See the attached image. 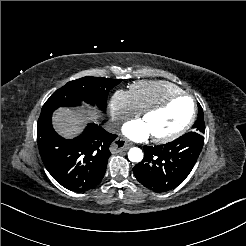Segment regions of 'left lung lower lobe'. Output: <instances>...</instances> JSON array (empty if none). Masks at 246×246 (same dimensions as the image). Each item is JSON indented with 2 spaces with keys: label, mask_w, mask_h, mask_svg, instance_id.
<instances>
[{
  "label": "left lung lower lobe",
  "mask_w": 246,
  "mask_h": 246,
  "mask_svg": "<svg viewBox=\"0 0 246 246\" xmlns=\"http://www.w3.org/2000/svg\"><path fill=\"white\" fill-rule=\"evenodd\" d=\"M203 144V135L192 131L165 145L144 146V158L133 168L135 177L155 192L174 189L191 172Z\"/></svg>",
  "instance_id": "obj_1"
}]
</instances>
